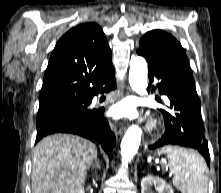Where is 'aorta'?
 Returning a JSON list of instances; mask_svg holds the SVG:
<instances>
[{"label": "aorta", "instance_id": "762f6f07", "mask_svg": "<svg viewBox=\"0 0 221 193\" xmlns=\"http://www.w3.org/2000/svg\"><path fill=\"white\" fill-rule=\"evenodd\" d=\"M147 63L143 57H132L130 60L129 83L133 91L140 96H147ZM142 136V129L137 126H131L125 133L121 141V160L122 167H127L128 163L136 155Z\"/></svg>", "mask_w": 221, "mask_h": 193}]
</instances>
